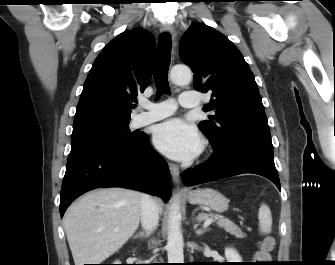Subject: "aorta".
I'll use <instances>...</instances> for the list:
<instances>
[{
  "mask_svg": "<svg viewBox=\"0 0 335 265\" xmlns=\"http://www.w3.org/2000/svg\"><path fill=\"white\" fill-rule=\"evenodd\" d=\"M171 81L176 85H186L192 79V72L189 67L183 65L174 66L170 73ZM167 235V255L168 263H184L183 235L181 231L180 207L176 196L170 205Z\"/></svg>",
  "mask_w": 335,
  "mask_h": 265,
  "instance_id": "obj_1",
  "label": "aorta"
}]
</instances>
